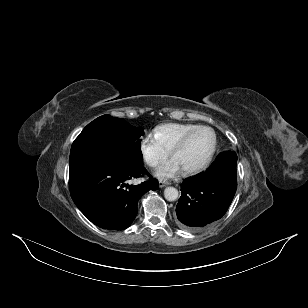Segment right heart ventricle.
Listing matches in <instances>:
<instances>
[{
	"mask_svg": "<svg viewBox=\"0 0 308 308\" xmlns=\"http://www.w3.org/2000/svg\"><path fill=\"white\" fill-rule=\"evenodd\" d=\"M199 126L191 123H166L157 126L153 130V136L166 151L170 152L186 133Z\"/></svg>",
	"mask_w": 308,
	"mask_h": 308,
	"instance_id": "1",
	"label": "right heart ventricle"
}]
</instances>
